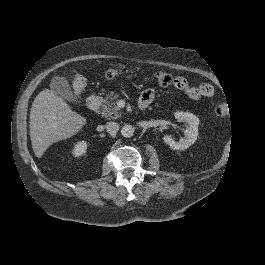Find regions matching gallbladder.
I'll list each match as a JSON object with an SVG mask.
<instances>
[{
  "mask_svg": "<svg viewBox=\"0 0 265 265\" xmlns=\"http://www.w3.org/2000/svg\"><path fill=\"white\" fill-rule=\"evenodd\" d=\"M50 87L55 94L76 107H84L85 103L79 99L70 87L68 79L64 76L54 75L50 79Z\"/></svg>",
  "mask_w": 265,
  "mask_h": 265,
  "instance_id": "bac80fb5",
  "label": "gallbladder"
}]
</instances>
